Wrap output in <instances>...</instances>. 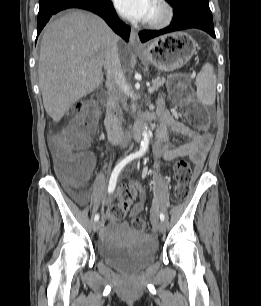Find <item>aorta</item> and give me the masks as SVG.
<instances>
[{
	"mask_svg": "<svg viewBox=\"0 0 261 306\" xmlns=\"http://www.w3.org/2000/svg\"><path fill=\"white\" fill-rule=\"evenodd\" d=\"M142 135H143V140L141 141V146H140L139 151L136 153L137 156H142L148 149L149 135H148L146 128L144 129Z\"/></svg>",
	"mask_w": 261,
	"mask_h": 306,
	"instance_id": "obj_1",
	"label": "aorta"
}]
</instances>
